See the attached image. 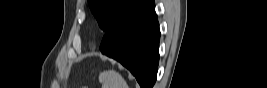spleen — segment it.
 <instances>
[{
  "instance_id": "obj_1",
  "label": "spleen",
  "mask_w": 267,
  "mask_h": 88,
  "mask_svg": "<svg viewBox=\"0 0 267 88\" xmlns=\"http://www.w3.org/2000/svg\"><path fill=\"white\" fill-rule=\"evenodd\" d=\"M99 79L103 88H129L125 79L114 70L101 73Z\"/></svg>"
}]
</instances>
